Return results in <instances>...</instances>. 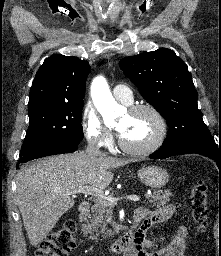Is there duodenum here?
Listing matches in <instances>:
<instances>
[{
  "mask_svg": "<svg viewBox=\"0 0 221 256\" xmlns=\"http://www.w3.org/2000/svg\"><path fill=\"white\" fill-rule=\"evenodd\" d=\"M91 204L87 201H83L80 203L78 207V212H79V217L81 221H84L90 211ZM138 218L135 216V225L132 229L127 231L123 236H121L119 239L114 241L110 246H109V251L113 254H121L125 252L130 245L133 243V241L137 237V223H138Z\"/></svg>",
  "mask_w": 221,
  "mask_h": 256,
  "instance_id": "410a0bca",
  "label": "duodenum"
}]
</instances>
